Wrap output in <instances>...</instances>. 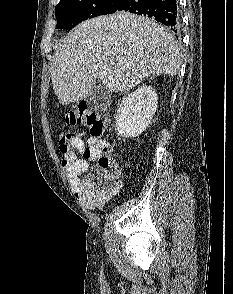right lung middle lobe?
I'll return each mask as SVG.
<instances>
[{"instance_id":"dd1d6c3e","label":"right lung middle lobe","mask_w":233,"mask_h":294,"mask_svg":"<svg viewBox=\"0 0 233 294\" xmlns=\"http://www.w3.org/2000/svg\"><path fill=\"white\" fill-rule=\"evenodd\" d=\"M124 0H60L56 28L71 30L82 21L117 11Z\"/></svg>"}]
</instances>
